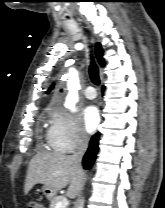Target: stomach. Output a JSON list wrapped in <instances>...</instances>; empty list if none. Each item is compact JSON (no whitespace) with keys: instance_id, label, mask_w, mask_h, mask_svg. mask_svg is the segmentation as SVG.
Wrapping results in <instances>:
<instances>
[{"instance_id":"stomach-1","label":"stomach","mask_w":165,"mask_h":208,"mask_svg":"<svg viewBox=\"0 0 165 208\" xmlns=\"http://www.w3.org/2000/svg\"><path fill=\"white\" fill-rule=\"evenodd\" d=\"M42 190L48 200H52L56 196V193H57L55 189L47 187V186H44Z\"/></svg>"}]
</instances>
